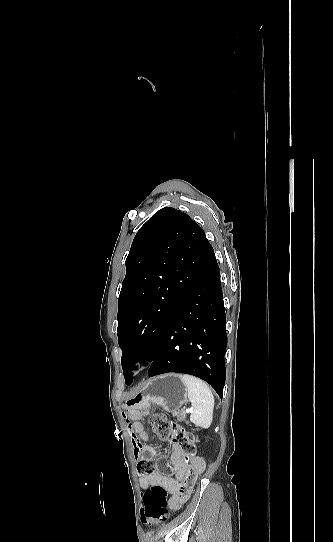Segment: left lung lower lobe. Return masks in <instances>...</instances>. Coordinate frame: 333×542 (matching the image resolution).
<instances>
[{
    "mask_svg": "<svg viewBox=\"0 0 333 542\" xmlns=\"http://www.w3.org/2000/svg\"><path fill=\"white\" fill-rule=\"evenodd\" d=\"M225 327L219 266L212 248L165 327L148 376L168 372L194 375L208 382L222 397L226 379Z\"/></svg>",
    "mask_w": 333,
    "mask_h": 542,
    "instance_id": "left-lung-lower-lobe-1",
    "label": "left lung lower lobe"
}]
</instances>
